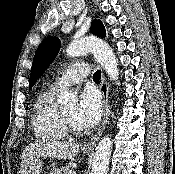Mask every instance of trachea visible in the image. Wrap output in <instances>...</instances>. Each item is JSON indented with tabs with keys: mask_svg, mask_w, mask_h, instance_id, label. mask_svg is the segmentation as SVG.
Returning <instances> with one entry per match:
<instances>
[{
	"mask_svg": "<svg viewBox=\"0 0 175 174\" xmlns=\"http://www.w3.org/2000/svg\"><path fill=\"white\" fill-rule=\"evenodd\" d=\"M101 79V71L97 70L94 74H93V80L94 81H99Z\"/></svg>",
	"mask_w": 175,
	"mask_h": 174,
	"instance_id": "trachea-1",
	"label": "trachea"
}]
</instances>
